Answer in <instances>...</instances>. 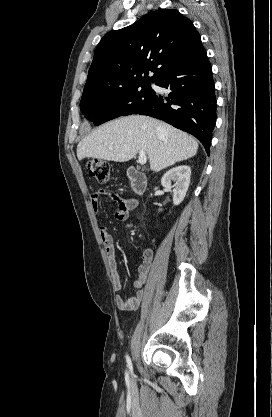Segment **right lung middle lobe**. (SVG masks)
<instances>
[{
  "label": "right lung middle lobe",
  "instance_id": "dd1d6c3e",
  "mask_svg": "<svg viewBox=\"0 0 272 417\" xmlns=\"http://www.w3.org/2000/svg\"><path fill=\"white\" fill-rule=\"evenodd\" d=\"M155 95L150 83H141L106 94H83L80 109L95 125L133 114Z\"/></svg>",
  "mask_w": 272,
  "mask_h": 417
}]
</instances>
